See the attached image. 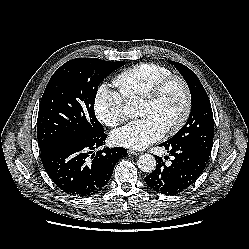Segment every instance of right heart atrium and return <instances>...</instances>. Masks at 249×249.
<instances>
[{"label": "right heart atrium", "instance_id": "right-heart-atrium-1", "mask_svg": "<svg viewBox=\"0 0 249 249\" xmlns=\"http://www.w3.org/2000/svg\"><path fill=\"white\" fill-rule=\"evenodd\" d=\"M93 110L96 118L109 127L119 125L125 118L123 98L107 84H101L94 96Z\"/></svg>", "mask_w": 249, "mask_h": 249}]
</instances>
